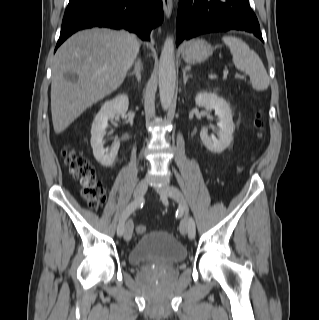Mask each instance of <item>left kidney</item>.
I'll return each mask as SVG.
<instances>
[{
  "label": "left kidney",
  "instance_id": "obj_1",
  "mask_svg": "<svg viewBox=\"0 0 319 320\" xmlns=\"http://www.w3.org/2000/svg\"><path fill=\"white\" fill-rule=\"evenodd\" d=\"M195 103L199 107H204L208 111H215L218 116L217 126L218 138L213 134L209 135L208 131L203 128L200 132V138L205 147L213 153H221L232 142L234 123L232 111L229 104L216 93L200 92L195 97Z\"/></svg>",
  "mask_w": 319,
  "mask_h": 320
}]
</instances>
